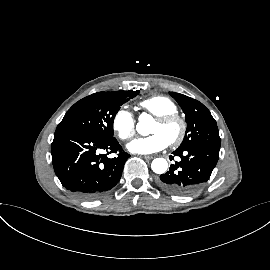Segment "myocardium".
<instances>
[{"label":"myocardium","instance_id":"myocardium-1","mask_svg":"<svg viewBox=\"0 0 270 270\" xmlns=\"http://www.w3.org/2000/svg\"><path fill=\"white\" fill-rule=\"evenodd\" d=\"M156 121L161 124H170V123L177 122L180 125L179 134L174 140L169 142V144L172 147H177L183 142L187 133V122L182 116H180L178 113H170V114L158 116L156 118Z\"/></svg>","mask_w":270,"mask_h":270}]
</instances>
